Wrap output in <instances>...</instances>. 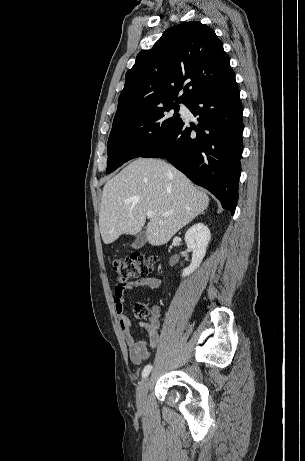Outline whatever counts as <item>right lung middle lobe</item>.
<instances>
[{
    "mask_svg": "<svg viewBox=\"0 0 305 461\" xmlns=\"http://www.w3.org/2000/svg\"><path fill=\"white\" fill-rule=\"evenodd\" d=\"M172 109L174 114L169 113ZM178 111L177 103H169L114 123L108 139L107 173L159 147L182 123Z\"/></svg>",
    "mask_w": 305,
    "mask_h": 461,
    "instance_id": "dd1d6c3e",
    "label": "right lung middle lobe"
}]
</instances>
